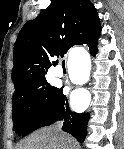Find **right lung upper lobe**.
I'll list each match as a JSON object with an SVG mask.
<instances>
[{
  "label": "right lung upper lobe",
  "instance_id": "cb5924a9",
  "mask_svg": "<svg viewBox=\"0 0 124 149\" xmlns=\"http://www.w3.org/2000/svg\"><path fill=\"white\" fill-rule=\"evenodd\" d=\"M100 20L89 0H51L50 6L20 30L14 43L12 81L31 85L51 66L49 56H63L74 45L97 44Z\"/></svg>",
  "mask_w": 124,
  "mask_h": 149
}]
</instances>
